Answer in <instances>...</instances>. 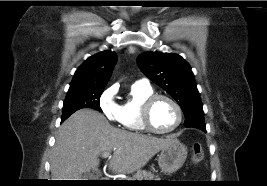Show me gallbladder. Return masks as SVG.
<instances>
[{
  "instance_id": "1",
  "label": "gallbladder",
  "mask_w": 267,
  "mask_h": 186,
  "mask_svg": "<svg viewBox=\"0 0 267 186\" xmlns=\"http://www.w3.org/2000/svg\"><path fill=\"white\" fill-rule=\"evenodd\" d=\"M82 177L84 180L95 179L94 173H85Z\"/></svg>"
}]
</instances>
